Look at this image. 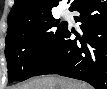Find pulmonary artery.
I'll list each match as a JSON object with an SVG mask.
<instances>
[{
  "label": "pulmonary artery",
  "mask_w": 107,
  "mask_h": 89,
  "mask_svg": "<svg viewBox=\"0 0 107 89\" xmlns=\"http://www.w3.org/2000/svg\"><path fill=\"white\" fill-rule=\"evenodd\" d=\"M63 15H64L65 17L68 16V15H69L68 11H67V10L63 11Z\"/></svg>",
  "instance_id": "pulmonary-artery-1"
}]
</instances>
